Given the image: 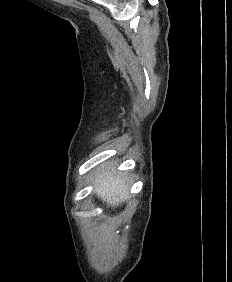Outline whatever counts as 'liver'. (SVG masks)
Returning a JSON list of instances; mask_svg holds the SVG:
<instances>
[{
    "instance_id": "6515ba94",
    "label": "liver",
    "mask_w": 232,
    "mask_h": 282,
    "mask_svg": "<svg viewBox=\"0 0 232 282\" xmlns=\"http://www.w3.org/2000/svg\"><path fill=\"white\" fill-rule=\"evenodd\" d=\"M97 181L98 186L95 189L98 197L107 203V205H118L119 202L125 201L128 185L120 175H112L108 172L107 175H101Z\"/></svg>"
}]
</instances>
